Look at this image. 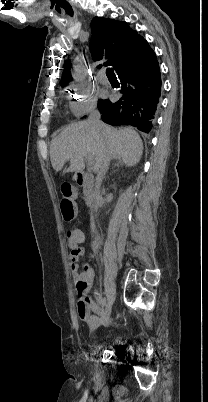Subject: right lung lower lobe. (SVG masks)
<instances>
[{
	"label": "right lung lower lobe",
	"mask_w": 208,
	"mask_h": 402,
	"mask_svg": "<svg viewBox=\"0 0 208 402\" xmlns=\"http://www.w3.org/2000/svg\"><path fill=\"white\" fill-rule=\"evenodd\" d=\"M116 72L122 97L98 107L102 120L113 126L132 125L149 133L161 95V74L157 57L147 41L138 35L118 59Z\"/></svg>",
	"instance_id": "right-lung-lower-lobe-1"
}]
</instances>
